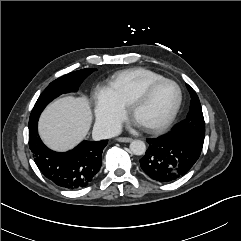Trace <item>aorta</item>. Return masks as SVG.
<instances>
[{"label": "aorta", "mask_w": 241, "mask_h": 241, "mask_svg": "<svg viewBox=\"0 0 241 241\" xmlns=\"http://www.w3.org/2000/svg\"><path fill=\"white\" fill-rule=\"evenodd\" d=\"M130 151L134 155H143L146 151V145L142 140H133L130 143Z\"/></svg>", "instance_id": "762f6f07"}]
</instances>
